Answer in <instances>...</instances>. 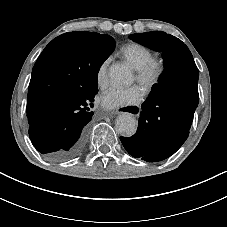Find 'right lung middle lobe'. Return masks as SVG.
Here are the masks:
<instances>
[{
    "label": "right lung middle lobe",
    "mask_w": 227,
    "mask_h": 227,
    "mask_svg": "<svg viewBox=\"0 0 227 227\" xmlns=\"http://www.w3.org/2000/svg\"><path fill=\"white\" fill-rule=\"evenodd\" d=\"M115 47L114 39L101 34L93 39L69 38L60 44L61 56L82 72L83 84L78 95L95 94L98 72Z\"/></svg>",
    "instance_id": "right-lung-middle-lobe-1"
}]
</instances>
